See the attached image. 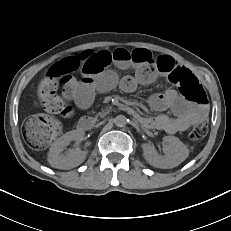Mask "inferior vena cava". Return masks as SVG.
<instances>
[{
	"label": "inferior vena cava",
	"instance_id": "602c4592",
	"mask_svg": "<svg viewBox=\"0 0 231 231\" xmlns=\"http://www.w3.org/2000/svg\"><path fill=\"white\" fill-rule=\"evenodd\" d=\"M105 125V121L103 119H101L100 121H98L95 125H94V128L95 129H98L100 128L101 126H104Z\"/></svg>",
	"mask_w": 231,
	"mask_h": 231
}]
</instances>
